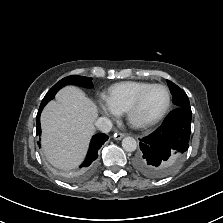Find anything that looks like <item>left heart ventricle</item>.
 Wrapping results in <instances>:
<instances>
[{"label": "left heart ventricle", "instance_id": "1", "mask_svg": "<svg viewBox=\"0 0 223 223\" xmlns=\"http://www.w3.org/2000/svg\"><path fill=\"white\" fill-rule=\"evenodd\" d=\"M167 102V95L162 88H153L144 97L140 107L135 113V119L146 121L158 116Z\"/></svg>", "mask_w": 223, "mask_h": 223}]
</instances>
